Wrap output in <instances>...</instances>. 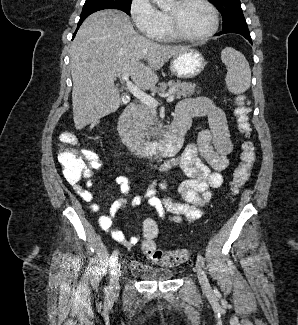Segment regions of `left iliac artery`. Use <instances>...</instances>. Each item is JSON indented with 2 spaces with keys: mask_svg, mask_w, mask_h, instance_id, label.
Masks as SVG:
<instances>
[{
  "mask_svg": "<svg viewBox=\"0 0 298 325\" xmlns=\"http://www.w3.org/2000/svg\"><path fill=\"white\" fill-rule=\"evenodd\" d=\"M197 260L201 264L202 267H205L204 258L200 254H198Z\"/></svg>",
  "mask_w": 298,
  "mask_h": 325,
  "instance_id": "44dca946",
  "label": "left iliac artery"
}]
</instances>
